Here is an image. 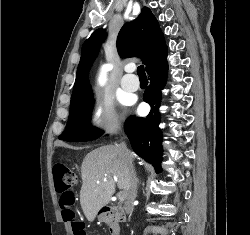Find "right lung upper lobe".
Segmentation results:
<instances>
[{"mask_svg": "<svg viewBox=\"0 0 250 235\" xmlns=\"http://www.w3.org/2000/svg\"><path fill=\"white\" fill-rule=\"evenodd\" d=\"M105 36V30L98 29L84 42L71 101L91 91L88 73ZM116 44L121 57H140L146 67L166 47L158 22L147 7L134 21L123 25Z\"/></svg>", "mask_w": 250, "mask_h": 235, "instance_id": "obj_1", "label": "right lung upper lobe"}]
</instances>
